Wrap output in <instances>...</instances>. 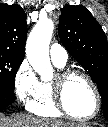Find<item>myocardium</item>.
<instances>
[{
	"mask_svg": "<svg viewBox=\"0 0 108 127\" xmlns=\"http://www.w3.org/2000/svg\"><path fill=\"white\" fill-rule=\"evenodd\" d=\"M73 76H81L83 77L88 84L91 86L95 98H96V105L95 109L92 114L89 116H78L72 113L65 102V88L68 83V81L73 77ZM52 87H53V96H54V102L56 107L60 112L63 114L67 115L68 117H71L76 120L80 121H88L93 119L99 112L100 107H101V95L99 92V89L94 82V80L91 78L89 74L86 72L79 70V69H73V68H68V69H62L55 77V79L52 81Z\"/></svg>",
	"mask_w": 108,
	"mask_h": 127,
	"instance_id": "f54148a6",
	"label": "myocardium"
}]
</instances>
